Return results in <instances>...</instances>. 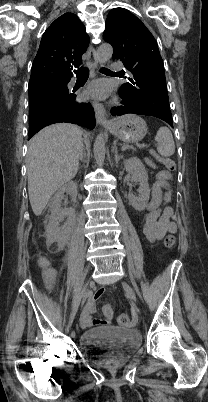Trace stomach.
I'll return each mask as SVG.
<instances>
[{
  "label": "stomach",
  "mask_w": 208,
  "mask_h": 402,
  "mask_svg": "<svg viewBox=\"0 0 208 402\" xmlns=\"http://www.w3.org/2000/svg\"><path fill=\"white\" fill-rule=\"evenodd\" d=\"M108 130L125 144H136L146 136L147 126L146 122L139 116L126 114V116H121V118L112 122Z\"/></svg>",
  "instance_id": "stomach-1"
}]
</instances>
